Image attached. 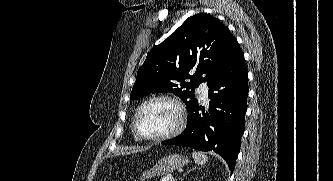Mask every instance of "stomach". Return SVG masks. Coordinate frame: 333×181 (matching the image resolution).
Masks as SVG:
<instances>
[{"mask_svg": "<svg viewBox=\"0 0 333 181\" xmlns=\"http://www.w3.org/2000/svg\"><path fill=\"white\" fill-rule=\"evenodd\" d=\"M187 163L188 159L179 154L165 156L161 158L152 168L145 170L141 175V179L146 181L153 177L171 173Z\"/></svg>", "mask_w": 333, "mask_h": 181, "instance_id": "1", "label": "stomach"}]
</instances>
